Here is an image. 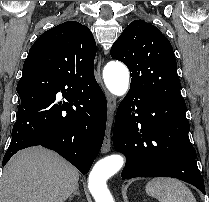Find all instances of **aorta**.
I'll list each match as a JSON object with an SVG mask.
<instances>
[{
  "label": "aorta",
  "mask_w": 209,
  "mask_h": 202,
  "mask_svg": "<svg viewBox=\"0 0 209 202\" xmlns=\"http://www.w3.org/2000/svg\"><path fill=\"white\" fill-rule=\"evenodd\" d=\"M104 82L108 90L116 95H124L129 87V71L120 62H109L103 71ZM124 164L121 155L112 154L99 160L93 167L88 178V188L95 202H114L107 188L106 181Z\"/></svg>",
  "instance_id": "obj_1"
}]
</instances>
